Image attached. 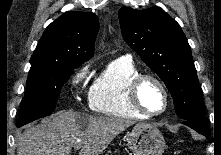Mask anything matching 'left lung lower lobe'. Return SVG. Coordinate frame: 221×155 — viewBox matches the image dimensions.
Returning <instances> with one entry per match:
<instances>
[{"label":"left lung lower lobe","instance_id":"left-lung-lower-lobe-1","mask_svg":"<svg viewBox=\"0 0 221 155\" xmlns=\"http://www.w3.org/2000/svg\"><path fill=\"white\" fill-rule=\"evenodd\" d=\"M182 123L204 135L211 142L210 129L208 128L206 122L184 120Z\"/></svg>","mask_w":221,"mask_h":155}]
</instances>
